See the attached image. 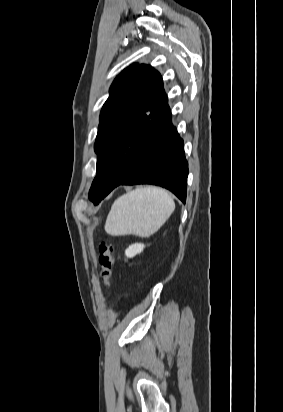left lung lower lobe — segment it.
Instances as JSON below:
<instances>
[{
    "label": "left lung lower lobe",
    "mask_w": 283,
    "mask_h": 412,
    "mask_svg": "<svg viewBox=\"0 0 283 412\" xmlns=\"http://www.w3.org/2000/svg\"><path fill=\"white\" fill-rule=\"evenodd\" d=\"M187 176L183 140L172 125L169 112L156 126L147 150L134 168L124 156L114 157L107 150L99 154L94 181L100 184V193L93 203L98 204L119 185L134 184L164 187L185 203Z\"/></svg>",
    "instance_id": "obj_1"
}]
</instances>
